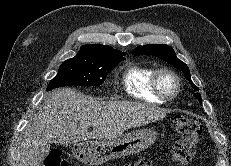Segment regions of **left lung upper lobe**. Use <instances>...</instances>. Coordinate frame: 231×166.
Returning <instances> with one entry per match:
<instances>
[{
	"label": "left lung upper lobe",
	"instance_id": "left-lung-upper-lobe-1",
	"mask_svg": "<svg viewBox=\"0 0 231 166\" xmlns=\"http://www.w3.org/2000/svg\"><path fill=\"white\" fill-rule=\"evenodd\" d=\"M133 54L136 56L153 55L173 65L175 68L182 70L186 79L190 82L194 91H196L195 97L198 100H201V95L197 92L198 88L191 81L189 68L184 62L176 57L175 51L171 46H168L166 44H147L136 47L133 51Z\"/></svg>",
	"mask_w": 231,
	"mask_h": 166
}]
</instances>
